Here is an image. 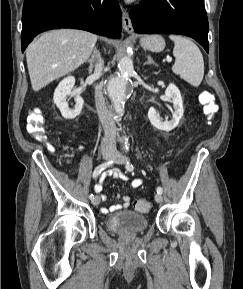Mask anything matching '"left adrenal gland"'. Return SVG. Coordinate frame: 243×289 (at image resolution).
<instances>
[{
  "label": "left adrenal gland",
  "mask_w": 243,
  "mask_h": 289,
  "mask_svg": "<svg viewBox=\"0 0 243 289\" xmlns=\"http://www.w3.org/2000/svg\"><path fill=\"white\" fill-rule=\"evenodd\" d=\"M146 64H154L156 65V63L153 61L152 57L150 55H147V62L144 63V65Z\"/></svg>",
  "instance_id": "1"
}]
</instances>
